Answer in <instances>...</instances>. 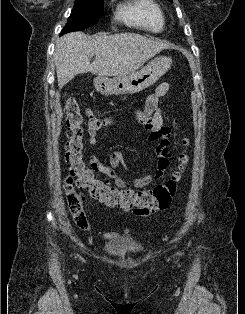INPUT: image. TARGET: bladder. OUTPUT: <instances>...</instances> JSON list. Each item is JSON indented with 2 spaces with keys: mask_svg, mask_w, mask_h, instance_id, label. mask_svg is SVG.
I'll list each match as a JSON object with an SVG mask.
<instances>
[{
  "mask_svg": "<svg viewBox=\"0 0 245 314\" xmlns=\"http://www.w3.org/2000/svg\"><path fill=\"white\" fill-rule=\"evenodd\" d=\"M143 250V245L132 238L112 242L104 248L105 254L110 258H121L130 253H140Z\"/></svg>",
  "mask_w": 245,
  "mask_h": 314,
  "instance_id": "1",
  "label": "bladder"
}]
</instances>
